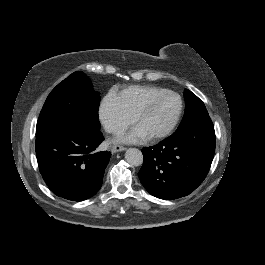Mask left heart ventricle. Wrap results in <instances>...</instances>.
<instances>
[{
	"instance_id": "obj_1",
	"label": "left heart ventricle",
	"mask_w": 265,
	"mask_h": 265,
	"mask_svg": "<svg viewBox=\"0 0 265 265\" xmlns=\"http://www.w3.org/2000/svg\"><path fill=\"white\" fill-rule=\"evenodd\" d=\"M179 105L176 96L168 93L157 95L149 108L138 118L137 128L147 136L157 132L176 116Z\"/></svg>"
}]
</instances>
